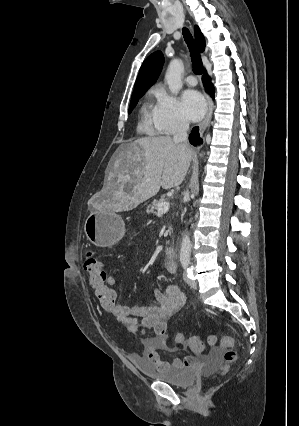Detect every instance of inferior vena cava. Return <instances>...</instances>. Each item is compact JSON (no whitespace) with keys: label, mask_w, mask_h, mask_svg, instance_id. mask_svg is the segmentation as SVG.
Returning <instances> with one entry per match:
<instances>
[{"label":"inferior vena cava","mask_w":299,"mask_h":426,"mask_svg":"<svg viewBox=\"0 0 299 426\" xmlns=\"http://www.w3.org/2000/svg\"><path fill=\"white\" fill-rule=\"evenodd\" d=\"M189 129V122L187 120H182L177 128L176 133L174 134L173 141L175 143L181 144L185 147L188 145V135L187 131Z\"/></svg>","instance_id":"1"}]
</instances>
